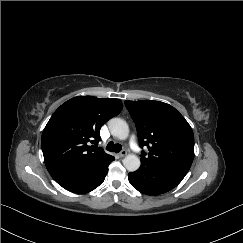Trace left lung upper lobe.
Segmentation results:
<instances>
[{"instance_id":"left-lung-upper-lobe-1","label":"left lung upper lobe","mask_w":243,"mask_h":243,"mask_svg":"<svg viewBox=\"0 0 243 243\" xmlns=\"http://www.w3.org/2000/svg\"><path fill=\"white\" fill-rule=\"evenodd\" d=\"M132 116L142 152L141 167H154L172 162L192 163L194 135L185 118L171 105L159 101H125Z\"/></svg>"}]
</instances>
